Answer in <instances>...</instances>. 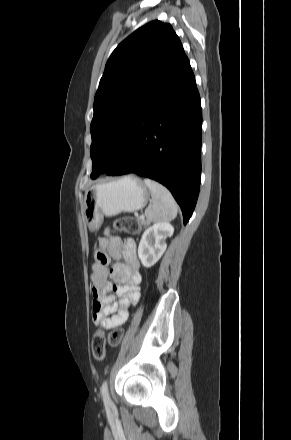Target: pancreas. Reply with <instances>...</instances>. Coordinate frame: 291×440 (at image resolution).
<instances>
[{
  "label": "pancreas",
  "mask_w": 291,
  "mask_h": 440,
  "mask_svg": "<svg viewBox=\"0 0 291 440\" xmlns=\"http://www.w3.org/2000/svg\"><path fill=\"white\" fill-rule=\"evenodd\" d=\"M137 222L140 226H143V227H146L147 225L150 224V222L145 219H138Z\"/></svg>",
  "instance_id": "pancreas-1"
}]
</instances>
